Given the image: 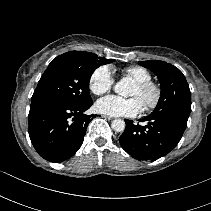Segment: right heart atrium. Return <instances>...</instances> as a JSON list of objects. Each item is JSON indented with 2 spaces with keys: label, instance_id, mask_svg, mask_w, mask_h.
Masks as SVG:
<instances>
[{
  "label": "right heart atrium",
  "instance_id": "d8ad5b80",
  "mask_svg": "<svg viewBox=\"0 0 211 211\" xmlns=\"http://www.w3.org/2000/svg\"><path fill=\"white\" fill-rule=\"evenodd\" d=\"M114 84V77L108 66L97 67L89 77V89L95 95L108 92Z\"/></svg>",
  "mask_w": 211,
  "mask_h": 211
}]
</instances>
